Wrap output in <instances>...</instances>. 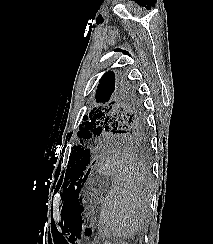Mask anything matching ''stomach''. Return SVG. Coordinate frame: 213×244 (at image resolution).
<instances>
[{"instance_id":"1","label":"stomach","mask_w":213,"mask_h":244,"mask_svg":"<svg viewBox=\"0 0 213 244\" xmlns=\"http://www.w3.org/2000/svg\"><path fill=\"white\" fill-rule=\"evenodd\" d=\"M108 185L107 184H103L100 186L99 189H97L96 191H94V197L99 200L101 198V194H103L105 192V190L107 189Z\"/></svg>"}]
</instances>
